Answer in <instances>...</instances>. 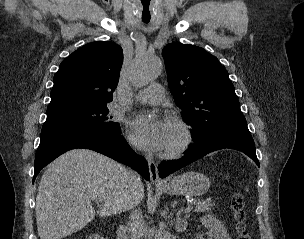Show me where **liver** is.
<instances>
[{
	"label": "liver",
	"instance_id": "obj_1",
	"mask_svg": "<svg viewBox=\"0 0 304 239\" xmlns=\"http://www.w3.org/2000/svg\"><path fill=\"white\" fill-rule=\"evenodd\" d=\"M127 169L87 149L70 150L44 172L36 198L40 239H62L84 228L95 215L110 216L127 210ZM134 197H144L142 182ZM101 202L95 210L93 201Z\"/></svg>",
	"mask_w": 304,
	"mask_h": 239
}]
</instances>
